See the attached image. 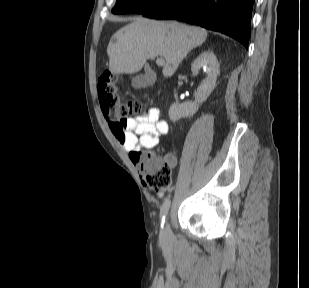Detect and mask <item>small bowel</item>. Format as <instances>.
<instances>
[{
  "instance_id": "obj_1",
  "label": "small bowel",
  "mask_w": 309,
  "mask_h": 288,
  "mask_svg": "<svg viewBox=\"0 0 309 288\" xmlns=\"http://www.w3.org/2000/svg\"><path fill=\"white\" fill-rule=\"evenodd\" d=\"M110 129L123 149L131 156L142 148L158 145L160 137L169 131V123L160 118V110L152 108L147 114L128 118L124 122L110 123ZM173 165L176 158L170 155Z\"/></svg>"
}]
</instances>
